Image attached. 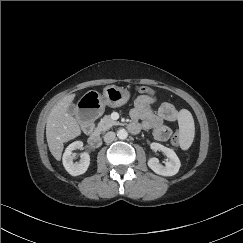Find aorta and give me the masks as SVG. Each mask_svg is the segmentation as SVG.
Listing matches in <instances>:
<instances>
[{"label":"aorta","instance_id":"aorta-1","mask_svg":"<svg viewBox=\"0 0 243 243\" xmlns=\"http://www.w3.org/2000/svg\"><path fill=\"white\" fill-rule=\"evenodd\" d=\"M117 136H118L119 139H122V140L126 139L127 136H128V132L125 129H119L117 131Z\"/></svg>","mask_w":243,"mask_h":243}]
</instances>
